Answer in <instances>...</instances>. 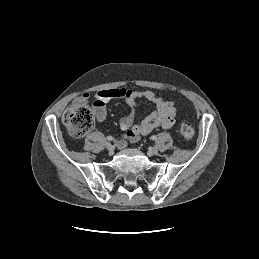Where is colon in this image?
<instances>
[{
    "mask_svg": "<svg viewBox=\"0 0 259 259\" xmlns=\"http://www.w3.org/2000/svg\"><path fill=\"white\" fill-rule=\"evenodd\" d=\"M62 121L71 135L82 137L94 127L95 116L88 105L73 104L63 113ZM194 133L195 130L191 123L186 122L180 126V135L184 139H191Z\"/></svg>",
    "mask_w": 259,
    "mask_h": 259,
    "instance_id": "5ec220e1",
    "label": "colon"
}]
</instances>
